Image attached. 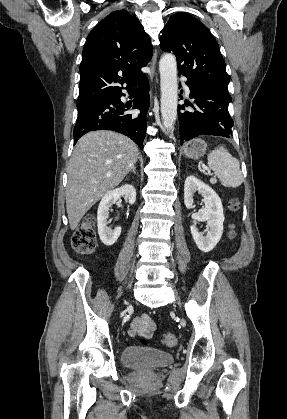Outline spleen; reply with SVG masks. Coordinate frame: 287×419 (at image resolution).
Wrapping results in <instances>:
<instances>
[{
  "label": "spleen",
  "instance_id": "1",
  "mask_svg": "<svg viewBox=\"0 0 287 419\" xmlns=\"http://www.w3.org/2000/svg\"><path fill=\"white\" fill-rule=\"evenodd\" d=\"M208 166L224 186L236 188L244 180L239 160L234 158L224 146L208 154Z\"/></svg>",
  "mask_w": 287,
  "mask_h": 419
}]
</instances>
